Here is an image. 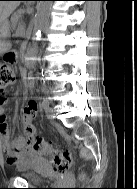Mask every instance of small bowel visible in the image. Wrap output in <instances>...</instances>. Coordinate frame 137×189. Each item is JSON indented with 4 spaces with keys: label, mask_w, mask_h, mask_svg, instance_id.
Listing matches in <instances>:
<instances>
[{
    "label": "small bowel",
    "mask_w": 137,
    "mask_h": 189,
    "mask_svg": "<svg viewBox=\"0 0 137 189\" xmlns=\"http://www.w3.org/2000/svg\"><path fill=\"white\" fill-rule=\"evenodd\" d=\"M34 79L29 78L28 88L33 89ZM6 97L0 95V142L6 156L8 164L16 166L18 169L26 168L37 158L30 150V141L34 137L36 128L33 123L34 113H27V106L23 111L24 135L11 139L10 129L7 123L4 105Z\"/></svg>",
    "instance_id": "1"
}]
</instances>
